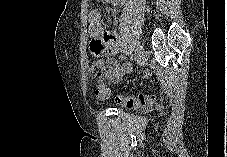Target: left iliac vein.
Wrapping results in <instances>:
<instances>
[{
    "label": "left iliac vein",
    "instance_id": "4c4485c4",
    "mask_svg": "<svg viewBox=\"0 0 227 157\" xmlns=\"http://www.w3.org/2000/svg\"><path fill=\"white\" fill-rule=\"evenodd\" d=\"M148 58H149V52L146 49L142 48L138 54V59H137L138 64L141 66H144L148 61Z\"/></svg>",
    "mask_w": 227,
    "mask_h": 157
}]
</instances>
